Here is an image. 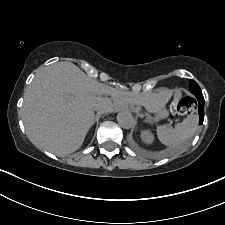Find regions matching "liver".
I'll return each mask as SVG.
<instances>
[{
  "mask_svg": "<svg viewBox=\"0 0 225 225\" xmlns=\"http://www.w3.org/2000/svg\"><path fill=\"white\" fill-rule=\"evenodd\" d=\"M150 97L116 90L90 78L71 62H58L40 68L26 88L22 120L32 144L66 156L83 144L97 106L110 112L114 103L144 105Z\"/></svg>",
  "mask_w": 225,
  "mask_h": 225,
  "instance_id": "liver-1",
  "label": "liver"
}]
</instances>
